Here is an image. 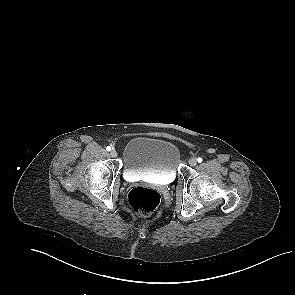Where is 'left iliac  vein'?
<instances>
[{
  "label": "left iliac vein",
  "instance_id": "obj_1",
  "mask_svg": "<svg viewBox=\"0 0 295 295\" xmlns=\"http://www.w3.org/2000/svg\"><path fill=\"white\" fill-rule=\"evenodd\" d=\"M188 163L190 166L194 167L197 164V160L195 158H191V159H189Z\"/></svg>",
  "mask_w": 295,
  "mask_h": 295
}]
</instances>
